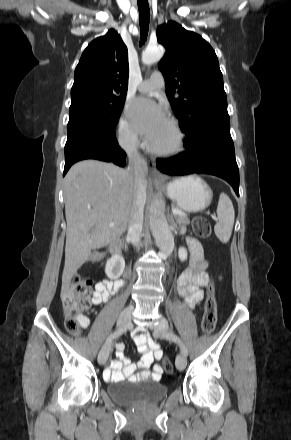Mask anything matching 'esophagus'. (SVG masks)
<instances>
[{
  "label": "esophagus",
  "instance_id": "34e87169",
  "mask_svg": "<svg viewBox=\"0 0 291 440\" xmlns=\"http://www.w3.org/2000/svg\"><path fill=\"white\" fill-rule=\"evenodd\" d=\"M152 181L155 185L162 184L164 182L163 176L156 170L152 171Z\"/></svg>",
  "mask_w": 291,
  "mask_h": 440
}]
</instances>
